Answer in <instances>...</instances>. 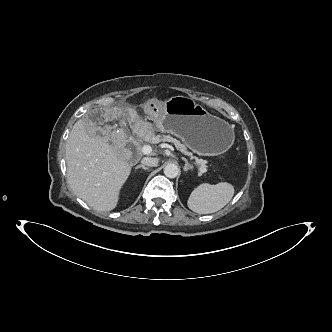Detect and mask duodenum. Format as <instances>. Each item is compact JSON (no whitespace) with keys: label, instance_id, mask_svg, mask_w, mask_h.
Here are the masks:
<instances>
[{"label":"duodenum","instance_id":"obj_1","mask_svg":"<svg viewBox=\"0 0 332 332\" xmlns=\"http://www.w3.org/2000/svg\"><path fill=\"white\" fill-rule=\"evenodd\" d=\"M131 157H135L136 156V152L134 150L131 151Z\"/></svg>","mask_w":332,"mask_h":332}]
</instances>
